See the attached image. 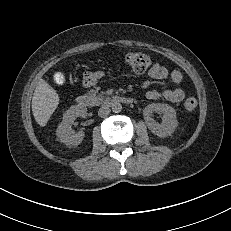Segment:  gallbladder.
<instances>
[{
  "label": "gallbladder",
  "instance_id": "gallbladder-1",
  "mask_svg": "<svg viewBox=\"0 0 231 231\" xmlns=\"http://www.w3.org/2000/svg\"><path fill=\"white\" fill-rule=\"evenodd\" d=\"M53 78L55 80V83L58 85H63L66 82L65 75H63L61 73L54 74Z\"/></svg>",
  "mask_w": 231,
  "mask_h": 231
}]
</instances>
